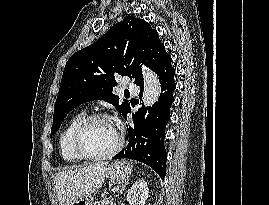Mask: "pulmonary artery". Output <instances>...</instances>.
Listing matches in <instances>:
<instances>
[{
  "label": "pulmonary artery",
  "instance_id": "obj_1",
  "mask_svg": "<svg viewBox=\"0 0 269 205\" xmlns=\"http://www.w3.org/2000/svg\"><path fill=\"white\" fill-rule=\"evenodd\" d=\"M127 88L133 93H138V88H137L136 84L133 82H128Z\"/></svg>",
  "mask_w": 269,
  "mask_h": 205
}]
</instances>
